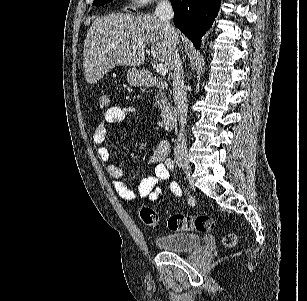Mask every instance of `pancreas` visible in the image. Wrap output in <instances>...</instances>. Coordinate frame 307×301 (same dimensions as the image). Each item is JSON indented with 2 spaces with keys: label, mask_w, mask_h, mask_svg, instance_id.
<instances>
[{
  "label": "pancreas",
  "mask_w": 307,
  "mask_h": 301,
  "mask_svg": "<svg viewBox=\"0 0 307 301\" xmlns=\"http://www.w3.org/2000/svg\"><path fill=\"white\" fill-rule=\"evenodd\" d=\"M165 94L163 92V90H159V92H157L156 94V98H158V100H156V106H159V108H162V106H164V104H166V100L164 98Z\"/></svg>",
  "instance_id": "cf45deb5"
}]
</instances>
